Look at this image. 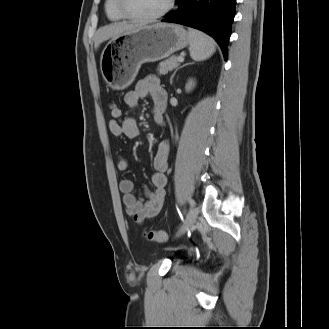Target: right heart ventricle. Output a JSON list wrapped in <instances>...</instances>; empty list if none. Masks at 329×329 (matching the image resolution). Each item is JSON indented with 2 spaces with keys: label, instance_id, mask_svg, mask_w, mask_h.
Instances as JSON below:
<instances>
[{
  "label": "right heart ventricle",
  "instance_id": "1",
  "mask_svg": "<svg viewBox=\"0 0 329 329\" xmlns=\"http://www.w3.org/2000/svg\"><path fill=\"white\" fill-rule=\"evenodd\" d=\"M105 11L107 17L111 21H121L125 19L118 9L117 0H106Z\"/></svg>",
  "mask_w": 329,
  "mask_h": 329
}]
</instances>
